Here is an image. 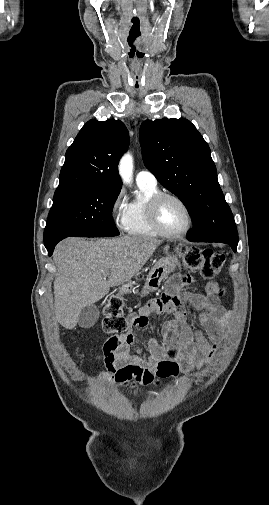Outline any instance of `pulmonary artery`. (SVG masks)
I'll return each mask as SVG.
<instances>
[{"instance_id": "pulmonary-artery-1", "label": "pulmonary artery", "mask_w": 269, "mask_h": 505, "mask_svg": "<svg viewBox=\"0 0 269 505\" xmlns=\"http://www.w3.org/2000/svg\"><path fill=\"white\" fill-rule=\"evenodd\" d=\"M136 181L138 184H147L151 186L157 185L156 177L148 170L139 171L136 175Z\"/></svg>"}]
</instances>
